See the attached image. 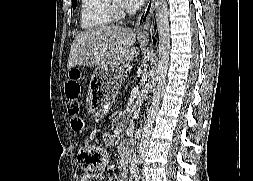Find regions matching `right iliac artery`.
Wrapping results in <instances>:
<instances>
[{
    "mask_svg": "<svg viewBox=\"0 0 253 181\" xmlns=\"http://www.w3.org/2000/svg\"><path fill=\"white\" fill-rule=\"evenodd\" d=\"M137 162H138V163H141L140 161H137V160L134 161V163H137Z\"/></svg>",
    "mask_w": 253,
    "mask_h": 181,
    "instance_id": "1",
    "label": "right iliac artery"
}]
</instances>
